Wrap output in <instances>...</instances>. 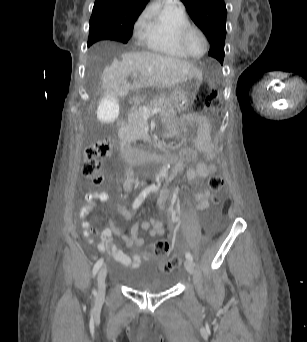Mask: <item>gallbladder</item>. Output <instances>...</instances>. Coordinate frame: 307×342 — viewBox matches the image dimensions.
Returning <instances> with one entry per match:
<instances>
[{
  "mask_svg": "<svg viewBox=\"0 0 307 342\" xmlns=\"http://www.w3.org/2000/svg\"><path fill=\"white\" fill-rule=\"evenodd\" d=\"M120 95H104L103 101L98 105L100 123H116L118 110L120 109Z\"/></svg>",
  "mask_w": 307,
  "mask_h": 342,
  "instance_id": "1",
  "label": "gallbladder"
}]
</instances>
